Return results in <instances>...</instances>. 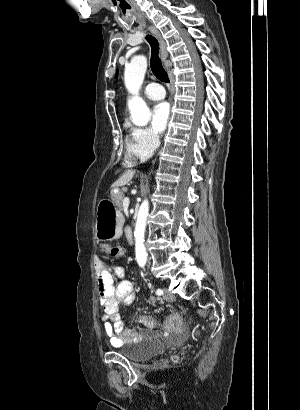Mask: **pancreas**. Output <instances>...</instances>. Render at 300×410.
Returning a JSON list of instances; mask_svg holds the SVG:
<instances>
[{
	"instance_id": "obj_1",
	"label": "pancreas",
	"mask_w": 300,
	"mask_h": 410,
	"mask_svg": "<svg viewBox=\"0 0 300 410\" xmlns=\"http://www.w3.org/2000/svg\"><path fill=\"white\" fill-rule=\"evenodd\" d=\"M111 196L113 198V201L117 205L119 209L123 208V199H124V193L122 191H119L118 193H111Z\"/></svg>"
}]
</instances>
